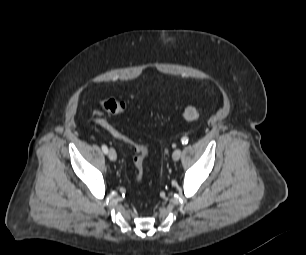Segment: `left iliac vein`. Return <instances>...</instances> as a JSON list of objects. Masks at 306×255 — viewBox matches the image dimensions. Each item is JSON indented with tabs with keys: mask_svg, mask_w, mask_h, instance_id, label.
Instances as JSON below:
<instances>
[{
	"mask_svg": "<svg viewBox=\"0 0 306 255\" xmlns=\"http://www.w3.org/2000/svg\"><path fill=\"white\" fill-rule=\"evenodd\" d=\"M181 155H182L181 150H180V149H176V150L173 152V154H172V159H173L174 161H178V160L180 159Z\"/></svg>",
	"mask_w": 306,
	"mask_h": 255,
	"instance_id": "1",
	"label": "left iliac vein"
}]
</instances>
